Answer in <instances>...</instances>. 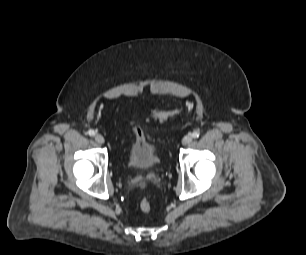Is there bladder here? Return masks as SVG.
<instances>
[{
    "label": "bladder",
    "mask_w": 306,
    "mask_h": 255,
    "mask_svg": "<svg viewBox=\"0 0 306 255\" xmlns=\"http://www.w3.org/2000/svg\"><path fill=\"white\" fill-rule=\"evenodd\" d=\"M157 150L151 142L142 138L135 140L127 153L128 165L138 171L152 170L158 164Z\"/></svg>",
    "instance_id": "obj_1"
}]
</instances>
